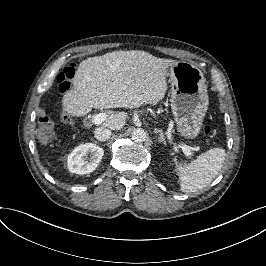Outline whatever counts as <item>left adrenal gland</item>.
I'll use <instances>...</instances> for the list:
<instances>
[{
    "mask_svg": "<svg viewBox=\"0 0 266 266\" xmlns=\"http://www.w3.org/2000/svg\"><path fill=\"white\" fill-rule=\"evenodd\" d=\"M157 133H159L160 137H159V142H162L165 145V136L163 134L162 130H156Z\"/></svg>",
    "mask_w": 266,
    "mask_h": 266,
    "instance_id": "a2214340",
    "label": "left adrenal gland"
}]
</instances>
